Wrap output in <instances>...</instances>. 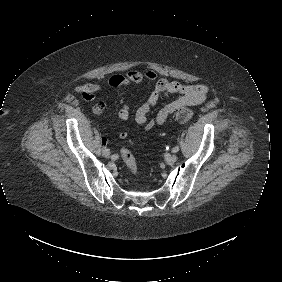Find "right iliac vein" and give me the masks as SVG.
<instances>
[{
  "label": "right iliac vein",
  "mask_w": 282,
  "mask_h": 282,
  "mask_svg": "<svg viewBox=\"0 0 282 282\" xmlns=\"http://www.w3.org/2000/svg\"><path fill=\"white\" fill-rule=\"evenodd\" d=\"M103 156L106 157V158L110 157V151L108 149H104L103 150Z\"/></svg>",
  "instance_id": "1"
}]
</instances>
